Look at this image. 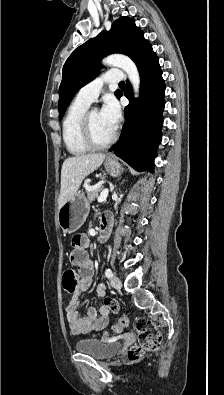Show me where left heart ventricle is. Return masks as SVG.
<instances>
[{
	"label": "left heart ventricle",
	"instance_id": "b2bd125f",
	"mask_svg": "<svg viewBox=\"0 0 224 395\" xmlns=\"http://www.w3.org/2000/svg\"><path fill=\"white\" fill-rule=\"evenodd\" d=\"M91 129L94 139L99 143L107 141L114 133L98 110H94L91 114Z\"/></svg>",
	"mask_w": 224,
	"mask_h": 395
}]
</instances>
